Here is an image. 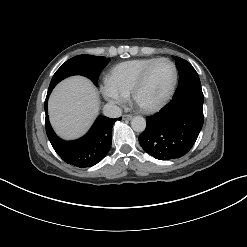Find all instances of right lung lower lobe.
Here are the masks:
<instances>
[{
	"label": "right lung lower lobe",
	"mask_w": 247,
	"mask_h": 247,
	"mask_svg": "<svg viewBox=\"0 0 247 247\" xmlns=\"http://www.w3.org/2000/svg\"><path fill=\"white\" fill-rule=\"evenodd\" d=\"M52 89H48L45 100V127L54 150L66 163L77 167L86 168L99 163L111 147L112 127L119 118L111 119L99 116L82 138L74 141H64L54 133L48 118L47 103Z\"/></svg>",
	"instance_id": "1"
}]
</instances>
